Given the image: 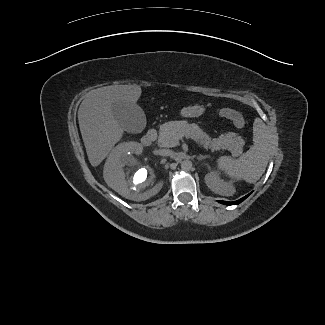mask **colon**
Instances as JSON below:
<instances>
[{"instance_id":"5ec220e1","label":"colon","mask_w":325,"mask_h":325,"mask_svg":"<svg viewBox=\"0 0 325 325\" xmlns=\"http://www.w3.org/2000/svg\"><path fill=\"white\" fill-rule=\"evenodd\" d=\"M218 115L222 118L230 120L235 127L243 129L246 125L245 119L241 113L230 108H221L217 111Z\"/></svg>"}]
</instances>
